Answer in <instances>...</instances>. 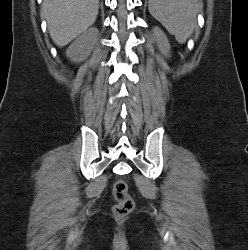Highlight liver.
I'll return each mask as SVG.
<instances>
[{"label": "liver", "mask_w": 248, "mask_h": 250, "mask_svg": "<svg viewBox=\"0 0 248 250\" xmlns=\"http://www.w3.org/2000/svg\"><path fill=\"white\" fill-rule=\"evenodd\" d=\"M99 0H44L42 13L54 43L63 47L96 20Z\"/></svg>", "instance_id": "1"}]
</instances>
